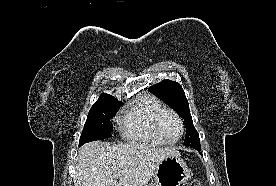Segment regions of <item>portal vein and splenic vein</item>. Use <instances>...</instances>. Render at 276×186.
Instances as JSON below:
<instances>
[{
  "instance_id": "1",
  "label": "portal vein and splenic vein",
  "mask_w": 276,
  "mask_h": 186,
  "mask_svg": "<svg viewBox=\"0 0 276 186\" xmlns=\"http://www.w3.org/2000/svg\"><path fill=\"white\" fill-rule=\"evenodd\" d=\"M116 176H117V177H121V176H122V173H117Z\"/></svg>"
}]
</instances>
